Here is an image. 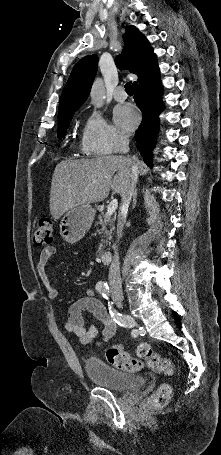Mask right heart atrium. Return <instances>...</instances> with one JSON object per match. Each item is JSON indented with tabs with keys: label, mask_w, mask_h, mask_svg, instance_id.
<instances>
[{
	"label": "right heart atrium",
	"mask_w": 221,
	"mask_h": 455,
	"mask_svg": "<svg viewBox=\"0 0 221 455\" xmlns=\"http://www.w3.org/2000/svg\"><path fill=\"white\" fill-rule=\"evenodd\" d=\"M125 139L126 137L105 118L91 113L84 121L81 150L86 155H110L122 147Z\"/></svg>",
	"instance_id": "1"
}]
</instances>
